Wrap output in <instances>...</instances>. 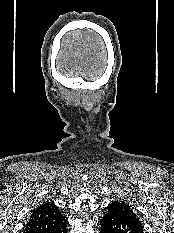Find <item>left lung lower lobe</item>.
Returning a JSON list of instances; mask_svg holds the SVG:
<instances>
[{
  "mask_svg": "<svg viewBox=\"0 0 174 233\" xmlns=\"http://www.w3.org/2000/svg\"><path fill=\"white\" fill-rule=\"evenodd\" d=\"M101 233H144L140 221L107 211L100 220Z\"/></svg>",
  "mask_w": 174,
  "mask_h": 233,
  "instance_id": "1",
  "label": "left lung lower lobe"
}]
</instances>
